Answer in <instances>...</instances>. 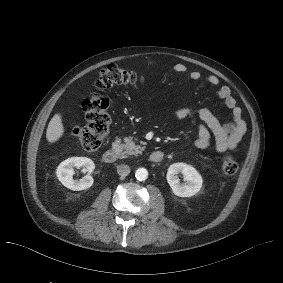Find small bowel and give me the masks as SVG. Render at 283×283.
<instances>
[{
	"label": "small bowel",
	"instance_id": "1",
	"mask_svg": "<svg viewBox=\"0 0 283 283\" xmlns=\"http://www.w3.org/2000/svg\"><path fill=\"white\" fill-rule=\"evenodd\" d=\"M148 64H153L149 61ZM173 70L177 73H188L190 79L198 81L204 79L212 86H218L219 78L213 74L205 77L199 70H188L186 65L176 63ZM216 94L228 108L232 115V120L228 123H222L215 114L208 108L194 110L190 107H181L175 110L174 115L177 119L182 120L193 114H196L200 120L198 127V137L194 142L197 148L204 149L210 146L211 136L215 137V148L218 152L235 149L242 140L246 132V123L242 117V111L231 91L227 86H219Z\"/></svg>",
	"mask_w": 283,
	"mask_h": 283
}]
</instances>
